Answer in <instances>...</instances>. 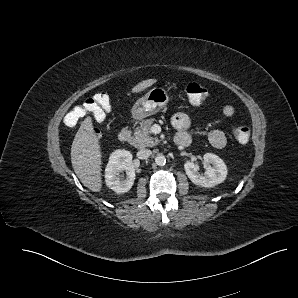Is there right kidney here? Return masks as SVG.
<instances>
[{
	"label": "right kidney",
	"instance_id": "right-kidney-1",
	"mask_svg": "<svg viewBox=\"0 0 298 298\" xmlns=\"http://www.w3.org/2000/svg\"><path fill=\"white\" fill-rule=\"evenodd\" d=\"M132 158L131 152L124 149H117L109 156L105 168V182L117 194L128 192L134 184L135 166ZM122 171L126 172V179L119 177Z\"/></svg>",
	"mask_w": 298,
	"mask_h": 298
}]
</instances>
